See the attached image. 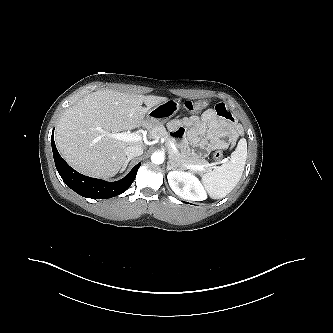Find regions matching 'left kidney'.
<instances>
[{"mask_svg":"<svg viewBox=\"0 0 333 333\" xmlns=\"http://www.w3.org/2000/svg\"><path fill=\"white\" fill-rule=\"evenodd\" d=\"M167 179L171 189L184 199L203 201L207 198L201 182L191 173L172 171L168 173Z\"/></svg>","mask_w":333,"mask_h":333,"instance_id":"1","label":"left kidney"}]
</instances>
